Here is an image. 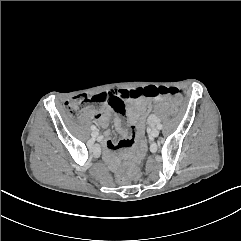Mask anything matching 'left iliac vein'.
I'll list each match as a JSON object with an SVG mask.
<instances>
[{
  "label": "left iliac vein",
  "instance_id": "4c4485c4",
  "mask_svg": "<svg viewBox=\"0 0 241 241\" xmlns=\"http://www.w3.org/2000/svg\"><path fill=\"white\" fill-rule=\"evenodd\" d=\"M159 135V130H158V128H153L152 130H151V136L152 137H157Z\"/></svg>",
  "mask_w": 241,
  "mask_h": 241
}]
</instances>
